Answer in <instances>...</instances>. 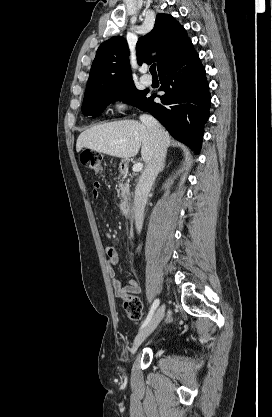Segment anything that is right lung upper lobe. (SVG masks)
I'll list each match as a JSON object with an SVG mask.
<instances>
[{
  "label": "right lung upper lobe",
  "instance_id": "obj_1",
  "mask_svg": "<svg viewBox=\"0 0 272 417\" xmlns=\"http://www.w3.org/2000/svg\"><path fill=\"white\" fill-rule=\"evenodd\" d=\"M189 43L185 29L172 16L160 13L153 30L137 42L138 63L156 61L159 71ZM152 52L157 55L152 57ZM133 84L126 40L116 36L103 42L92 63L85 94Z\"/></svg>",
  "mask_w": 272,
  "mask_h": 417
}]
</instances>
